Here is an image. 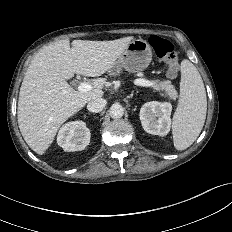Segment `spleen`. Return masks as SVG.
I'll list each match as a JSON object with an SVG mask.
<instances>
[{"label":"spleen","mask_w":232,"mask_h":232,"mask_svg":"<svg viewBox=\"0 0 232 232\" xmlns=\"http://www.w3.org/2000/svg\"><path fill=\"white\" fill-rule=\"evenodd\" d=\"M205 87L197 68L187 59L181 62L180 98L172 121L174 146L185 150L199 136L206 119Z\"/></svg>","instance_id":"obj_1"}]
</instances>
